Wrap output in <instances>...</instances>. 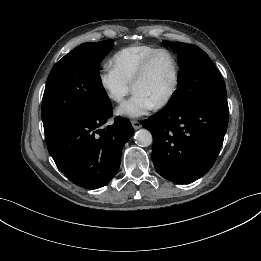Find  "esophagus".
Wrapping results in <instances>:
<instances>
[{
	"instance_id": "obj_1",
	"label": "esophagus",
	"mask_w": 261,
	"mask_h": 261,
	"mask_svg": "<svg viewBox=\"0 0 261 261\" xmlns=\"http://www.w3.org/2000/svg\"><path fill=\"white\" fill-rule=\"evenodd\" d=\"M131 124H132V126H133V128L135 129V130H138V129H140L141 128V123L139 122V121H137V120H132L131 121Z\"/></svg>"
}]
</instances>
